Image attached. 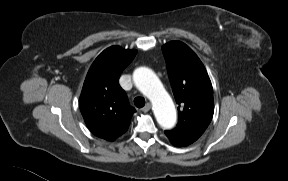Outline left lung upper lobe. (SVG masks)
<instances>
[{
	"instance_id": "5c2ea615",
	"label": "left lung upper lobe",
	"mask_w": 288,
	"mask_h": 181,
	"mask_svg": "<svg viewBox=\"0 0 288 181\" xmlns=\"http://www.w3.org/2000/svg\"><path fill=\"white\" fill-rule=\"evenodd\" d=\"M179 121L173 132L203 134L214 113L213 88L198 56L184 43L171 41L162 47Z\"/></svg>"
}]
</instances>
